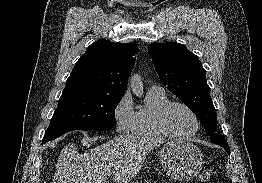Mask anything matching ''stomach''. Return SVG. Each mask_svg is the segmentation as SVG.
Returning <instances> with one entry per match:
<instances>
[{"mask_svg": "<svg viewBox=\"0 0 262 183\" xmlns=\"http://www.w3.org/2000/svg\"><path fill=\"white\" fill-rule=\"evenodd\" d=\"M159 158L168 176L177 181L192 179L204 164L201 151L184 139L167 141L160 150Z\"/></svg>", "mask_w": 262, "mask_h": 183, "instance_id": "0dacf381", "label": "stomach"}]
</instances>
